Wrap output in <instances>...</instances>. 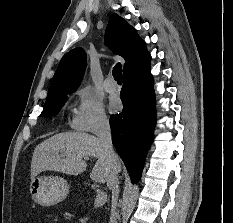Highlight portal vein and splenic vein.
I'll return each instance as SVG.
<instances>
[{"instance_id": "portal-vein-and-splenic-vein-1", "label": "portal vein and splenic vein", "mask_w": 233, "mask_h": 223, "mask_svg": "<svg viewBox=\"0 0 233 223\" xmlns=\"http://www.w3.org/2000/svg\"><path fill=\"white\" fill-rule=\"evenodd\" d=\"M106 201H107V193H105V191H98L94 199L95 205H104Z\"/></svg>"}]
</instances>
